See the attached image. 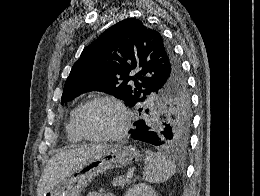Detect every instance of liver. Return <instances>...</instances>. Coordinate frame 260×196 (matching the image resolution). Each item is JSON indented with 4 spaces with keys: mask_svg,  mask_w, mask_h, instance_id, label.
Segmentation results:
<instances>
[{
    "mask_svg": "<svg viewBox=\"0 0 260 196\" xmlns=\"http://www.w3.org/2000/svg\"><path fill=\"white\" fill-rule=\"evenodd\" d=\"M104 148L106 146L91 144V146H75L73 150H64V152L55 154L45 166L37 188V196L54 190L55 186H59L63 180L70 176L75 166H79L83 160H88L98 152H102Z\"/></svg>",
    "mask_w": 260,
    "mask_h": 196,
    "instance_id": "1",
    "label": "liver"
}]
</instances>
